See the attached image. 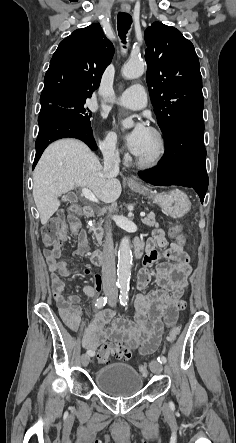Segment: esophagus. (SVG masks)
Segmentation results:
<instances>
[{
	"label": "esophagus",
	"instance_id": "obj_1",
	"mask_svg": "<svg viewBox=\"0 0 236 443\" xmlns=\"http://www.w3.org/2000/svg\"><path fill=\"white\" fill-rule=\"evenodd\" d=\"M122 11L123 12H129L130 11V7H122ZM128 182L129 183H133V184H137L138 183L136 181V179H134V178H128Z\"/></svg>",
	"mask_w": 236,
	"mask_h": 443
}]
</instances>
